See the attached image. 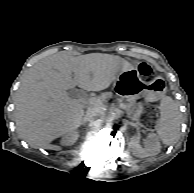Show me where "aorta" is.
Wrapping results in <instances>:
<instances>
[{
    "label": "aorta",
    "instance_id": "aorta-1",
    "mask_svg": "<svg viewBox=\"0 0 194 193\" xmlns=\"http://www.w3.org/2000/svg\"><path fill=\"white\" fill-rule=\"evenodd\" d=\"M119 117V113L115 109H109L105 113V119L108 121H114Z\"/></svg>",
    "mask_w": 194,
    "mask_h": 193
}]
</instances>
